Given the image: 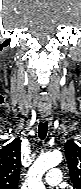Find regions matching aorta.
<instances>
[{"label": "aorta", "mask_w": 81, "mask_h": 189, "mask_svg": "<svg viewBox=\"0 0 81 189\" xmlns=\"http://www.w3.org/2000/svg\"><path fill=\"white\" fill-rule=\"evenodd\" d=\"M62 161V154L58 151L40 155L28 171V189H45L42 182L43 174Z\"/></svg>", "instance_id": "762f6f07"}]
</instances>
